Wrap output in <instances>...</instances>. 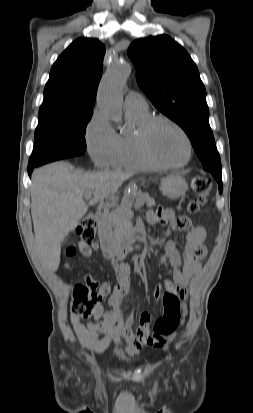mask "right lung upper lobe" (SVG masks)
<instances>
[{"mask_svg":"<svg viewBox=\"0 0 253 413\" xmlns=\"http://www.w3.org/2000/svg\"><path fill=\"white\" fill-rule=\"evenodd\" d=\"M104 54L105 47L97 39L72 42L51 68L39 114L93 112Z\"/></svg>","mask_w":253,"mask_h":413,"instance_id":"1","label":"right lung upper lobe"}]
</instances>
